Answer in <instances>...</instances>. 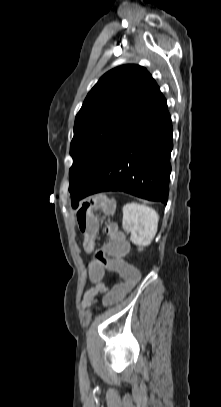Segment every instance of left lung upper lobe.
Returning a JSON list of instances; mask_svg holds the SVG:
<instances>
[{
  "instance_id": "obj_1",
  "label": "left lung upper lobe",
  "mask_w": 221,
  "mask_h": 407,
  "mask_svg": "<svg viewBox=\"0 0 221 407\" xmlns=\"http://www.w3.org/2000/svg\"><path fill=\"white\" fill-rule=\"evenodd\" d=\"M157 87L145 68L123 65L104 74L91 89L76 115L70 145L72 200L93 180L125 128Z\"/></svg>"
}]
</instances>
